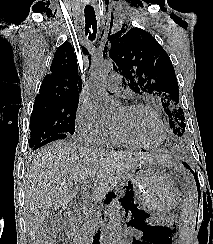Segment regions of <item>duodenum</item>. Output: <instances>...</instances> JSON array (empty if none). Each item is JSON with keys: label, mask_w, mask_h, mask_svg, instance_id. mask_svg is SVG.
<instances>
[{"label": "duodenum", "mask_w": 213, "mask_h": 244, "mask_svg": "<svg viewBox=\"0 0 213 244\" xmlns=\"http://www.w3.org/2000/svg\"><path fill=\"white\" fill-rule=\"evenodd\" d=\"M92 244H106L105 235L101 230H96L92 236Z\"/></svg>", "instance_id": "obj_1"}]
</instances>
